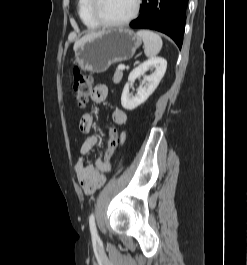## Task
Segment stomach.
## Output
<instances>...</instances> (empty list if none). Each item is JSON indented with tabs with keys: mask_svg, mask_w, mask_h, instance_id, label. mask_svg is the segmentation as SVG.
I'll return each instance as SVG.
<instances>
[{
	"mask_svg": "<svg viewBox=\"0 0 247 265\" xmlns=\"http://www.w3.org/2000/svg\"><path fill=\"white\" fill-rule=\"evenodd\" d=\"M141 43L130 29H108L77 46L75 63L84 71L102 73L114 63L131 59Z\"/></svg>",
	"mask_w": 247,
	"mask_h": 265,
	"instance_id": "obj_1",
	"label": "stomach"
}]
</instances>
